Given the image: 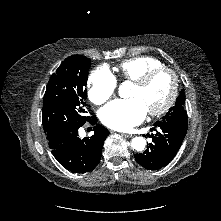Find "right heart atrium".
Returning a JSON list of instances; mask_svg holds the SVG:
<instances>
[{
  "label": "right heart atrium",
  "mask_w": 221,
  "mask_h": 221,
  "mask_svg": "<svg viewBox=\"0 0 221 221\" xmlns=\"http://www.w3.org/2000/svg\"><path fill=\"white\" fill-rule=\"evenodd\" d=\"M117 81L106 67H97L88 78V97L91 102L101 105L115 93Z\"/></svg>",
  "instance_id": "1"
}]
</instances>
